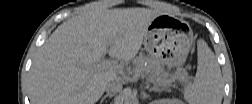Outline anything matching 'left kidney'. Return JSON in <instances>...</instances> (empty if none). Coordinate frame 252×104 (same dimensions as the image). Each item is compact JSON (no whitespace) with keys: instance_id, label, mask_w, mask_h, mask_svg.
<instances>
[{"instance_id":"left-kidney-1","label":"left kidney","mask_w":252,"mask_h":104,"mask_svg":"<svg viewBox=\"0 0 252 104\" xmlns=\"http://www.w3.org/2000/svg\"><path fill=\"white\" fill-rule=\"evenodd\" d=\"M166 103H180L178 100H166Z\"/></svg>"}]
</instances>
